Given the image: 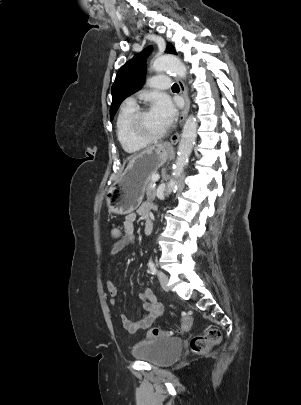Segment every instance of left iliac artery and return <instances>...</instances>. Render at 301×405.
I'll list each match as a JSON object with an SVG mask.
<instances>
[{
    "instance_id": "1",
    "label": "left iliac artery",
    "mask_w": 301,
    "mask_h": 405,
    "mask_svg": "<svg viewBox=\"0 0 301 405\" xmlns=\"http://www.w3.org/2000/svg\"><path fill=\"white\" fill-rule=\"evenodd\" d=\"M148 266L150 267L152 274H156L157 268L151 258L148 262Z\"/></svg>"
}]
</instances>
